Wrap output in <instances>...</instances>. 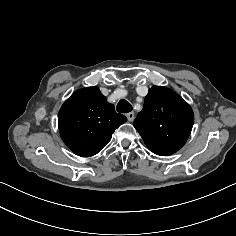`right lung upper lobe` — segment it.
<instances>
[{
	"instance_id": "1",
	"label": "right lung upper lobe",
	"mask_w": 236,
	"mask_h": 236,
	"mask_svg": "<svg viewBox=\"0 0 236 236\" xmlns=\"http://www.w3.org/2000/svg\"><path fill=\"white\" fill-rule=\"evenodd\" d=\"M127 118L115 112L97 86L74 92L62 105L58 125L64 143L78 156L100 152Z\"/></svg>"
}]
</instances>
